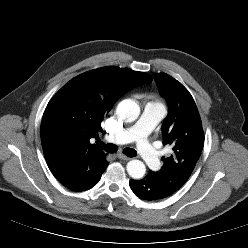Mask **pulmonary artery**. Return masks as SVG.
I'll return each mask as SVG.
<instances>
[{
	"instance_id": "obj_1",
	"label": "pulmonary artery",
	"mask_w": 248,
	"mask_h": 248,
	"mask_svg": "<svg viewBox=\"0 0 248 248\" xmlns=\"http://www.w3.org/2000/svg\"><path fill=\"white\" fill-rule=\"evenodd\" d=\"M165 114L163 106L147 103L139 119L131 126L110 134L107 140L114 144L136 143V150L152 169L160 166V153L149 140V134Z\"/></svg>"
}]
</instances>
